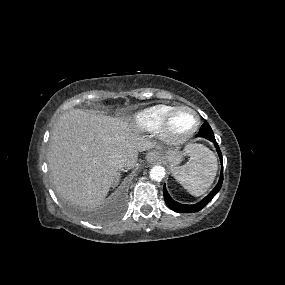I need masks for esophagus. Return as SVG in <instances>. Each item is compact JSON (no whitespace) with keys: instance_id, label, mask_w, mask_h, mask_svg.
I'll return each instance as SVG.
<instances>
[{"instance_id":"obj_1","label":"esophagus","mask_w":285,"mask_h":285,"mask_svg":"<svg viewBox=\"0 0 285 285\" xmlns=\"http://www.w3.org/2000/svg\"><path fill=\"white\" fill-rule=\"evenodd\" d=\"M146 159L148 162H154L158 159V156L156 155L155 152H148L146 155Z\"/></svg>"}]
</instances>
